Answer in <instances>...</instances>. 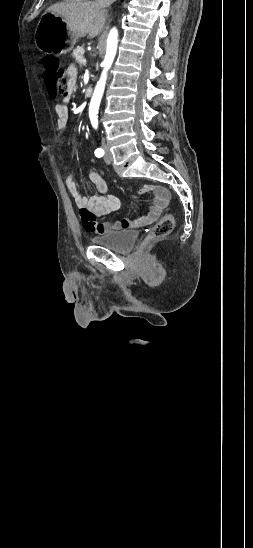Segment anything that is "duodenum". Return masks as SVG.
Here are the masks:
<instances>
[{
	"instance_id": "410a0bca",
	"label": "duodenum",
	"mask_w": 253,
	"mask_h": 548,
	"mask_svg": "<svg viewBox=\"0 0 253 548\" xmlns=\"http://www.w3.org/2000/svg\"><path fill=\"white\" fill-rule=\"evenodd\" d=\"M92 94H93V88L88 87V88L85 90V95H86L87 97H90V96H92Z\"/></svg>"
}]
</instances>
